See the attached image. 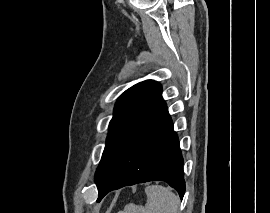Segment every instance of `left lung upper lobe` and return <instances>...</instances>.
<instances>
[{"label":"left lung upper lobe","mask_w":270,"mask_h":213,"mask_svg":"<svg viewBox=\"0 0 270 213\" xmlns=\"http://www.w3.org/2000/svg\"><path fill=\"white\" fill-rule=\"evenodd\" d=\"M161 91L158 82L146 80L132 86L119 97L109 124L106 146L96 170L97 186L140 124L164 103Z\"/></svg>","instance_id":"obj_1"}]
</instances>
